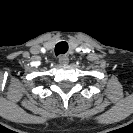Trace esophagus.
Listing matches in <instances>:
<instances>
[{
  "label": "esophagus",
  "mask_w": 133,
  "mask_h": 133,
  "mask_svg": "<svg viewBox=\"0 0 133 133\" xmlns=\"http://www.w3.org/2000/svg\"><path fill=\"white\" fill-rule=\"evenodd\" d=\"M58 61L61 65H66L69 63V58L66 55H61Z\"/></svg>",
  "instance_id": "obj_1"
}]
</instances>
